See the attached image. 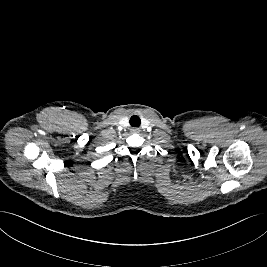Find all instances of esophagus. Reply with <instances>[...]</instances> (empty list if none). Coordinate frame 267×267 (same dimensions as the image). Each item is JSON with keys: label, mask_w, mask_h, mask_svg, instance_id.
Wrapping results in <instances>:
<instances>
[{"label": "esophagus", "mask_w": 267, "mask_h": 267, "mask_svg": "<svg viewBox=\"0 0 267 267\" xmlns=\"http://www.w3.org/2000/svg\"><path fill=\"white\" fill-rule=\"evenodd\" d=\"M132 132H133V133H138V132H139V129H138V128H133V129H132Z\"/></svg>", "instance_id": "esophagus-1"}]
</instances>
